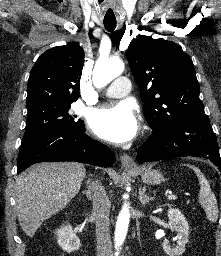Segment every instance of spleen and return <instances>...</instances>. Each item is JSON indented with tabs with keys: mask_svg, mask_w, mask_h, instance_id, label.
I'll return each instance as SVG.
<instances>
[{
	"mask_svg": "<svg viewBox=\"0 0 221 256\" xmlns=\"http://www.w3.org/2000/svg\"><path fill=\"white\" fill-rule=\"evenodd\" d=\"M187 166H189L194 170V172L196 173L199 179L200 191H199L198 197H199L200 205L205 210L208 220L211 222H216L218 219L217 200L215 195L211 191V188L207 179L202 174L199 168L195 166H190V165H187Z\"/></svg>",
	"mask_w": 221,
	"mask_h": 256,
	"instance_id": "obj_1",
	"label": "spleen"
}]
</instances>
